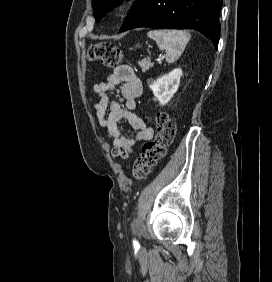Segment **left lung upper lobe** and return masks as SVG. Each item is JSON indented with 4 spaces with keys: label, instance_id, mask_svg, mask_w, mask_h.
<instances>
[{
    "label": "left lung upper lobe",
    "instance_id": "obj_1",
    "mask_svg": "<svg viewBox=\"0 0 272 282\" xmlns=\"http://www.w3.org/2000/svg\"><path fill=\"white\" fill-rule=\"evenodd\" d=\"M123 0H93L94 17L98 22L105 14L118 6Z\"/></svg>",
    "mask_w": 272,
    "mask_h": 282
}]
</instances>
